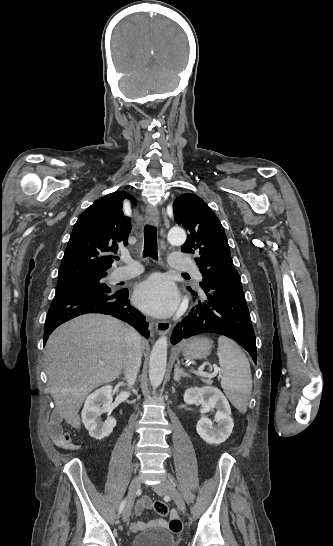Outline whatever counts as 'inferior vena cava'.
Returning a JSON list of instances; mask_svg holds the SVG:
<instances>
[{
    "label": "inferior vena cava",
    "instance_id": "602c4592",
    "mask_svg": "<svg viewBox=\"0 0 333 546\" xmlns=\"http://www.w3.org/2000/svg\"><path fill=\"white\" fill-rule=\"evenodd\" d=\"M126 351L124 357V376L129 386H132L137 378L141 364L142 344L141 337L134 329H128L125 334Z\"/></svg>",
    "mask_w": 333,
    "mask_h": 546
}]
</instances>
